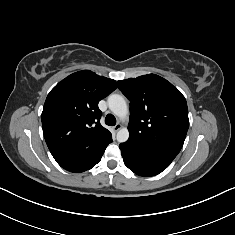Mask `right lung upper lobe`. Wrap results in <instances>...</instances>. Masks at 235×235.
Here are the masks:
<instances>
[{"instance_id": "obj_1", "label": "right lung upper lobe", "mask_w": 235, "mask_h": 235, "mask_svg": "<svg viewBox=\"0 0 235 235\" xmlns=\"http://www.w3.org/2000/svg\"><path fill=\"white\" fill-rule=\"evenodd\" d=\"M116 88L115 80L83 70L50 91L41 120L47 146L58 163L95 153L112 139L99 122L98 103Z\"/></svg>"}]
</instances>
